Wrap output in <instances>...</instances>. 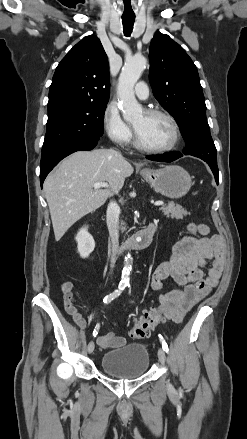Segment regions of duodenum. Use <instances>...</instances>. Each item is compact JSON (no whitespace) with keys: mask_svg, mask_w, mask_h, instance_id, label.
<instances>
[{"mask_svg":"<svg viewBox=\"0 0 247 439\" xmlns=\"http://www.w3.org/2000/svg\"><path fill=\"white\" fill-rule=\"evenodd\" d=\"M155 230H156L155 225L149 224L144 229L136 233L130 240L125 242L120 247V251L126 252L129 250L145 249L151 244Z\"/></svg>","mask_w":247,"mask_h":439,"instance_id":"1","label":"duodenum"}]
</instances>
